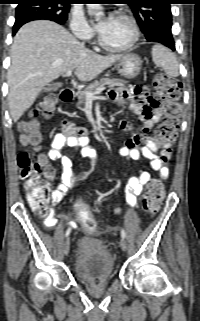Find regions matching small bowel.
<instances>
[{"label":"small bowel","instance_id":"1","mask_svg":"<svg viewBox=\"0 0 200 321\" xmlns=\"http://www.w3.org/2000/svg\"><path fill=\"white\" fill-rule=\"evenodd\" d=\"M141 84L136 82L134 86L126 89H113L108 92V98L119 103L126 104L129 102V107L138 116L142 128L139 133L131 135L125 141L124 145L120 148L119 153L128 161L138 162L142 158L150 160L151 168L158 172L159 178L165 181L169 177V168L167 161L170 156L165 155L163 152L158 154L159 142L157 139L150 135L151 129L157 124L162 116L165 114L164 105L149 96L147 89H140ZM121 129L129 131L130 126L125 122H121ZM89 138L88 132L84 128H74L72 125L63 132L56 134L50 145V150L46 155H41V158L47 163L48 161H58L60 182L53 184V180L57 174L56 167H49L47 174L48 184L51 187V195L49 201L51 204V214L44 219V225L48 228L54 227L58 219L54 213L56 207L63 199L68 188L74 183L75 178L72 173V161L63 154L65 147L77 148L82 147V151L86 156L93 154L92 149L88 146ZM151 176L148 172L139 169L136 175L129 176L126 184V198L130 207H135L137 198L143 191L145 185L149 184ZM116 213L120 212V208L115 209ZM67 219V215L62 216ZM70 226L75 227L73 221L68 223Z\"/></svg>","mask_w":200,"mask_h":321}]
</instances>
